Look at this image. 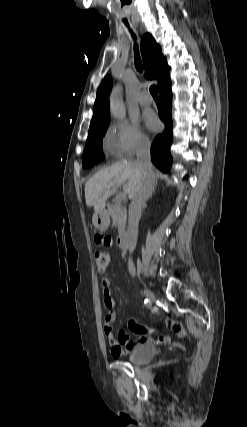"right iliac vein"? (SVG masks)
<instances>
[{"instance_id": "right-iliac-vein-1", "label": "right iliac vein", "mask_w": 247, "mask_h": 427, "mask_svg": "<svg viewBox=\"0 0 247 427\" xmlns=\"http://www.w3.org/2000/svg\"><path fill=\"white\" fill-rule=\"evenodd\" d=\"M144 294L149 299V301H151V302H155L156 301V296H155V294L153 292H151V291H149L147 289H144Z\"/></svg>"}]
</instances>
